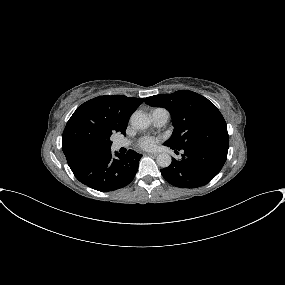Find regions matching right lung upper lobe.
Returning a JSON list of instances; mask_svg holds the SVG:
<instances>
[{"label": "right lung upper lobe", "instance_id": "cb5924a9", "mask_svg": "<svg viewBox=\"0 0 285 285\" xmlns=\"http://www.w3.org/2000/svg\"><path fill=\"white\" fill-rule=\"evenodd\" d=\"M143 98L124 95L99 96L76 109L62 135V149L68 165L82 157L111 148L110 136L125 130Z\"/></svg>", "mask_w": 285, "mask_h": 285}]
</instances>
